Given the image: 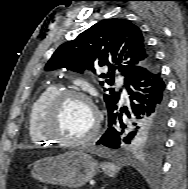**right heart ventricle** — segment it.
Returning a JSON list of instances; mask_svg holds the SVG:
<instances>
[{
	"instance_id": "1",
	"label": "right heart ventricle",
	"mask_w": 188,
	"mask_h": 189,
	"mask_svg": "<svg viewBox=\"0 0 188 189\" xmlns=\"http://www.w3.org/2000/svg\"><path fill=\"white\" fill-rule=\"evenodd\" d=\"M60 91L58 85H50L42 91L31 104L28 111L27 129L31 142L35 145L50 144L51 139L45 137L41 132L40 124L43 111L51 98Z\"/></svg>"
}]
</instances>
